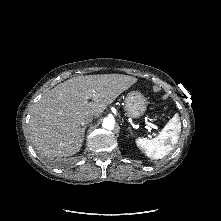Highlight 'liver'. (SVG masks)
<instances>
[{"label": "liver", "mask_w": 221, "mask_h": 221, "mask_svg": "<svg viewBox=\"0 0 221 221\" xmlns=\"http://www.w3.org/2000/svg\"><path fill=\"white\" fill-rule=\"evenodd\" d=\"M136 82L137 78L128 75L103 74L73 77L58 84L32 109L29 126L34 145L46 156L76 154L83 142L81 118L99 116Z\"/></svg>", "instance_id": "obj_1"}]
</instances>
